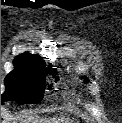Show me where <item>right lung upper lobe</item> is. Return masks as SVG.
Returning a JSON list of instances; mask_svg holds the SVG:
<instances>
[{
    "label": "right lung upper lobe",
    "instance_id": "right-lung-upper-lobe-1",
    "mask_svg": "<svg viewBox=\"0 0 122 123\" xmlns=\"http://www.w3.org/2000/svg\"><path fill=\"white\" fill-rule=\"evenodd\" d=\"M14 64L37 69L53 70L52 66L46 67L45 61L37 54L22 53L15 57Z\"/></svg>",
    "mask_w": 122,
    "mask_h": 123
}]
</instances>
